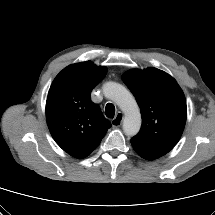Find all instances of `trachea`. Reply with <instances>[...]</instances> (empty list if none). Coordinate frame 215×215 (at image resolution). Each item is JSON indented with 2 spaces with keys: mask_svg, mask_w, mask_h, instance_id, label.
Instances as JSON below:
<instances>
[{
  "mask_svg": "<svg viewBox=\"0 0 215 215\" xmlns=\"http://www.w3.org/2000/svg\"><path fill=\"white\" fill-rule=\"evenodd\" d=\"M105 114L108 118H113L115 115V107L112 103H108L105 108Z\"/></svg>",
  "mask_w": 215,
  "mask_h": 215,
  "instance_id": "1",
  "label": "trachea"
}]
</instances>
